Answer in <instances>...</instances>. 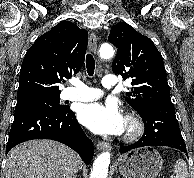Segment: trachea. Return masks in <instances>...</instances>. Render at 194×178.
<instances>
[{
	"label": "trachea",
	"instance_id": "trachea-1",
	"mask_svg": "<svg viewBox=\"0 0 194 178\" xmlns=\"http://www.w3.org/2000/svg\"><path fill=\"white\" fill-rule=\"evenodd\" d=\"M86 68L88 75L93 76L95 71V60L91 54H87L86 56Z\"/></svg>",
	"mask_w": 194,
	"mask_h": 178
}]
</instances>
